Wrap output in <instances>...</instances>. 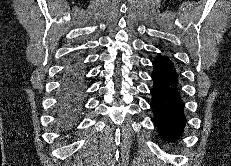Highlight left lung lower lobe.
<instances>
[{
  "instance_id": "obj_1",
  "label": "left lung lower lobe",
  "mask_w": 231,
  "mask_h": 166,
  "mask_svg": "<svg viewBox=\"0 0 231 166\" xmlns=\"http://www.w3.org/2000/svg\"><path fill=\"white\" fill-rule=\"evenodd\" d=\"M151 108L153 122L160 136L168 142L176 141L183 132L186 118L179 93V80L174 63L163 55L153 62Z\"/></svg>"
}]
</instances>
